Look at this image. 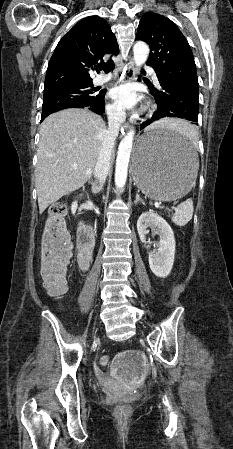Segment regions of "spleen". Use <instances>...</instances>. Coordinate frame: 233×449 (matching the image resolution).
I'll list each match as a JSON object with an SVG mask.
<instances>
[{"label": "spleen", "instance_id": "spleen-1", "mask_svg": "<svg viewBox=\"0 0 233 449\" xmlns=\"http://www.w3.org/2000/svg\"><path fill=\"white\" fill-rule=\"evenodd\" d=\"M172 133H183V137L186 138L188 142H197L199 140V135L195 130V124L173 125ZM176 209L177 211L172 216V222L177 226H185L193 216V201L187 199L179 204Z\"/></svg>", "mask_w": 233, "mask_h": 449}]
</instances>
